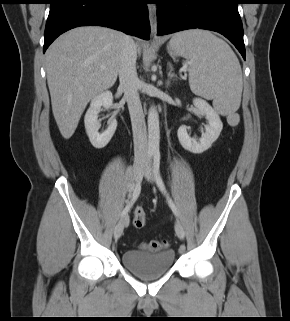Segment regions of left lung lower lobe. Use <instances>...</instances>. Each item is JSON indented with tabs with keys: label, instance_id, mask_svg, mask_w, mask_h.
I'll use <instances>...</instances> for the list:
<instances>
[{
	"label": "left lung lower lobe",
	"instance_id": "left-lung-lower-lobe-1",
	"mask_svg": "<svg viewBox=\"0 0 290 321\" xmlns=\"http://www.w3.org/2000/svg\"><path fill=\"white\" fill-rule=\"evenodd\" d=\"M158 35L186 29H207L228 38L245 59L240 0H159Z\"/></svg>",
	"mask_w": 290,
	"mask_h": 321
}]
</instances>
